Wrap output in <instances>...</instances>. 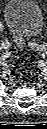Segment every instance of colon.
Listing matches in <instances>:
<instances>
[{
	"label": "colon",
	"instance_id": "obj_1",
	"mask_svg": "<svg viewBox=\"0 0 47 129\" xmlns=\"http://www.w3.org/2000/svg\"><path fill=\"white\" fill-rule=\"evenodd\" d=\"M15 40H16L17 44H18L19 46H21L20 39H19L18 37H15Z\"/></svg>",
	"mask_w": 47,
	"mask_h": 129
}]
</instances>
